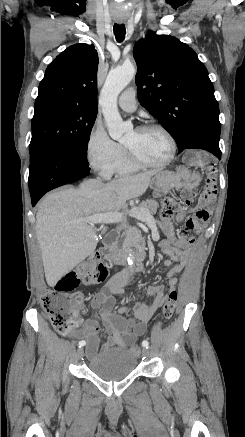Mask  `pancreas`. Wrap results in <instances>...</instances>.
<instances>
[{
  "mask_svg": "<svg viewBox=\"0 0 245 437\" xmlns=\"http://www.w3.org/2000/svg\"><path fill=\"white\" fill-rule=\"evenodd\" d=\"M158 202L153 199H147L143 201L138 207L136 211L139 216H143L144 214H154L157 210ZM138 219V218H137ZM121 241L123 245H136L142 241V234L139 229L136 227H132L130 225L124 226V231L121 234Z\"/></svg>",
  "mask_w": 245,
  "mask_h": 437,
  "instance_id": "obj_1",
  "label": "pancreas"
}]
</instances>
